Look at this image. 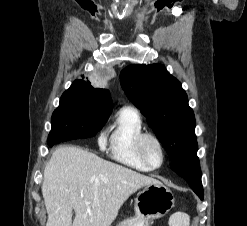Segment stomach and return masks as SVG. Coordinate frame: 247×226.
I'll return each mask as SVG.
<instances>
[{
    "instance_id": "obj_1",
    "label": "stomach",
    "mask_w": 247,
    "mask_h": 226,
    "mask_svg": "<svg viewBox=\"0 0 247 226\" xmlns=\"http://www.w3.org/2000/svg\"><path fill=\"white\" fill-rule=\"evenodd\" d=\"M174 204L173 193L163 183L148 184L135 199V215L118 226H149L152 220L165 216Z\"/></svg>"
}]
</instances>
